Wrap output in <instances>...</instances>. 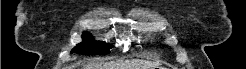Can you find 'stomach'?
<instances>
[{"label": "stomach", "mask_w": 246, "mask_h": 69, "mask_svg": "<svg viewBox=\"0 0 246 69\" xmlns=\"http://www.w3.org/2000/svg\"><path fill=\"white\" fill-rule=\"evenodd\" d=\"M154 69H166V68H164V67H156Z\"/></svg>", "instance_id": "stomach-1"}]
</instances>
